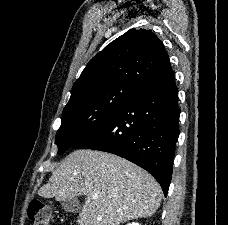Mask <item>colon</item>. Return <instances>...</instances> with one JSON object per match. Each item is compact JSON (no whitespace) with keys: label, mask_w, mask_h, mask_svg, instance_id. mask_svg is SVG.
I'll return each mask as SVG.
<instances>
[{"label":"colon","mask_w":228,"mask_h":225,"mask_svg":"<svg viewBox=\"0 0 228 225\" xmlns=\"http://www.w3.org/2000/svg\"><path fill=\"white\" fill-rule=\"evenodd\" d=\"M28 217L32 225H51L50 208L40 200H32L28 207Z\"/></svg>","instance_id":"5ec220e1"}]
</instances>
